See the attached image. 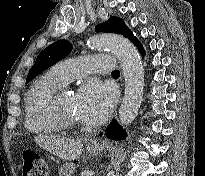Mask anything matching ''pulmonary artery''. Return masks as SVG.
<instances>
[{"label": "pulmonary artery", "mask_w": 205, "mask_h": 176, "mask_svg": "<svg viewBox=\"0 0 205 176\" xmlns=\"http://www.w3.org/2000/svg\"><path fill=\"white\" fill-rule=\"evenodd\" d=\"M115 69L112 57L108 55H92L75 57L56 63L51 72L64 84L90 74H105Z\"/></svg>", "instance_id": "obj_1"}]
</instances>
